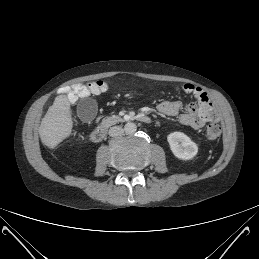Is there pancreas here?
<instances>
[{
    "label": "pancreas",
    "instance_id": "1",
    "mask_svg": "<svg viewBox=\"0 0 259 259\" xmlns=\"http://www.w3.org/2000/svg\"><path fill=\"white\" fill-rule=\"evenodd\" d=\"M122 119L120 116H117V115H112V116H109V117H106L102 120V125L103 126H110V125H113V124H116L118 122H121Z\"/></svg>",
    "mask_w": 259,
    "mask_h": 259
}]
</instances>
